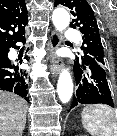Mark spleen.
<instances>
[{
	"instance_id": "obj_1",
	"label": "spleen",
	"mask_w": 117,
	"mask_h": 136,
	"mask_svg": "<svg viewBox=\"0 0 117 136\" xmlns=\"http://www.w3.org/2000/svg\"><path fill=\"white\" fill-rule=\"evenodd\" d=\"M82 124L92 136H117V113L107 105H87L82 111Z\"/></svg>"
}]
</instances>
